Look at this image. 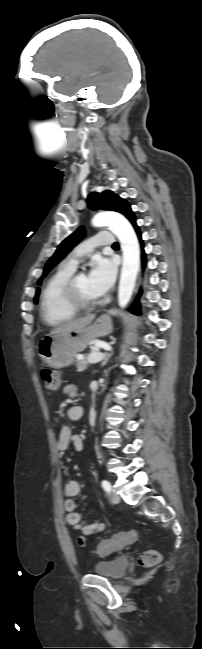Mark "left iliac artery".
<instances>
[{
	"mask_svg": "<svg viewBox=\"0 0 202 649\" xmlns=\"http://www.w3.org/2000/svg\"><path fill=\"white\" fill-rule=\"evenodd\" d=\"M102 487H103V489H104L106 492H110V491H111V485H110V483H109L108 481H106V480H103V481H102Z\"/></svg>",
	"mask_w": 202,
	"mask_h": 649,
	"instance_id": "obj_1",
	"label": "left iliac artery"
}]
</instances>
